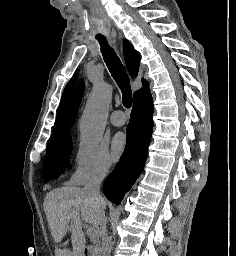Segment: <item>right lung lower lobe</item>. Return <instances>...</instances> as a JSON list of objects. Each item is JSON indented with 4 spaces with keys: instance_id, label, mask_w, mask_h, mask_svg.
Listing matches in <instances>:
<instances>
[{
    "instance_id": "right-lung-lower-lobe-1",
    "label": "right lung lower lobe",
    "mask_w": 236,
    "mask_h": 256,
    "mask_svg": "<svg viewBox=\"0 0 236 256\" xmlns=\"http://www.w3.org/2000/svg\"><path fill=\"white\" fill-rule=\"evenodd\" d=\"M152 115L153 102L147 88L134 98L130 122L127 126L126 148L103 185L105 196L117 205L144 168L153 130Z\"/></svg>"
}]
</instances>
